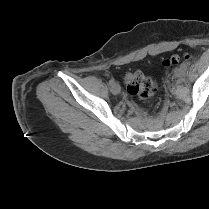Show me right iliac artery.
I'll return each instance as SVG.
<instances>
[{
    "label": "right iliac artery",
    "mask_w": 209,
    "mask_h": 209,
    "mask_svg": "<svg viewBox=\"0 0 209 209\" xmlns=\"http://www.w3.org/2000/svg\"><path fill=\"white\" fill-rule=\"evenodd\" d=\"M115 83V80L112 78L109 80V85H113Z\"/></svg>",
    "instance_id": "1"
}]
</instances>
